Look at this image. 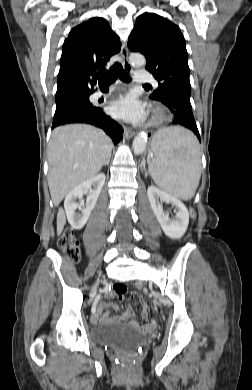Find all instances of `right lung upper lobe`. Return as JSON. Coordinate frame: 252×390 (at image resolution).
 <instances>
[{
	"label": "right lung upper lobe",
	"instance_id": "cb5924a9",
	"mask_svg": "<svg viewBox=\"0 0 252 390\" xmlns=\"http://www.w3.org/2000/svg\"><path fill=\"white\" fill-rule=\"evenodd\" d=\"M120 48L119 37L103 18H91L73 28L62 46L56 101L93 93L96 79Z\"/></svg>",
	"mask_w": 252,
	"mask_h": 390
}]
</instances>
